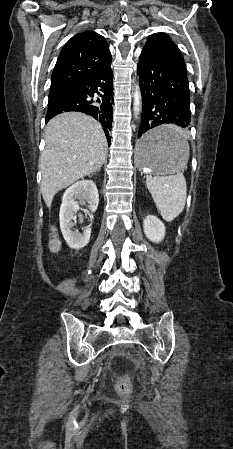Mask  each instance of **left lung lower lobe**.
<instances>
[{"mask_svg": "<svg viewBox=\"0 0 233 449\" xmlns=\"http://www.w3.org/2000/svg\"><path fill=\"white\" fill-rule=\"evenodd\" d=\"M142 94V115L138 131L143 151L175 147L181 137L154 135L151 129L161 124L190 125V93L187 73L143 48L138 63ZM190 129V128H189Z\"/></svg>", "mask_w": 233, "mask_h": 449, "instance_id": "obj_1", "label": "left lung lower lobe"}]
</instances>
